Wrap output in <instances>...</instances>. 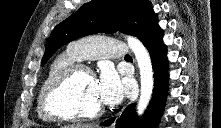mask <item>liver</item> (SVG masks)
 <instances>
[{
    "mask_svg": "<svg viewBox=\"0 0 221 128\" xmlns=\"http://www.w3.org/2000/svg\"><path fill=\"white\" fill-rule=\"evenodd\" d=\"M64 128H97L94 125H90V124H71V125H66L64 126Z\"/></svg>",
    "mask_w": 221,
    "mask_h": 128,
    "instance_id": "obj_1",
    "label": "liver"
}]
</instances>
